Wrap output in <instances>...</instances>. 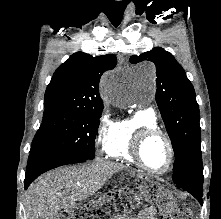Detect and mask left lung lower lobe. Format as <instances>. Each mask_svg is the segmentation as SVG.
I'll return each instance as SVG.
<instances>
[{"instance_id": "obj_1", "label": "left lung lower lobe", "mask_w": 221, "mask_h": 219, "mask_svg": "<svg viewBox=\"0 0 221 219\" xmlns=\"http://www.w3.org/2000/svg\"><path fill=\"white\" fill-rule=\"evenodd\" d=\"M181 188L192 194L202 205V184H183L179 185Z\"/></svg>"}]
</instances>
